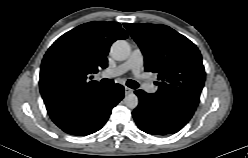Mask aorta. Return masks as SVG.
Segmentation results:
<instances>
[{
    "instance_id": "aorta-1",
    "label": "aorta",
    "mask_w": 248,
    "mask_h": 158,
    "mask_svg": "<svg viewBox=\"0 0 248 158\" xmlns=\"http://www.w3.org/2000/svg\"><path fill=\"white\" fill-rule=\"evenodd\" d=\"M130 45L125 40H117L111 46V56L118 61L126 60L130 55ZM139 100L134 93L125 96L124 104L129 109H135L138 106Z\"/></svg>"
}]
</instances>
